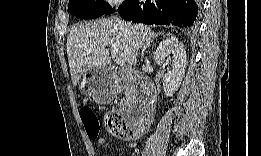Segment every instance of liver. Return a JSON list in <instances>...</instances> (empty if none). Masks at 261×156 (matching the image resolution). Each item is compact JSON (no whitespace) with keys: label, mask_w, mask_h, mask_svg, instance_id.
<instances>
[{"label":"liver","mask_w":261,"mask_h":156,"mask_svg":"<svg viewBox=\"0 0 261 156\" xmlns=\"http://www.w3.org/2000/svg\"><path fill=\"white\" fill-rule=\"evenodd\" d=\"M125 25L129 34L108 18L71 28L67 37V56L74 86H77L86 72L109 67L113 56L124 59L129 66L137 64L139 49L156 34L150 26L132 23Z\"/></svg>","instance_id":"1"}]
</instances>
